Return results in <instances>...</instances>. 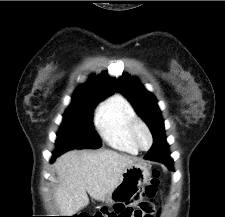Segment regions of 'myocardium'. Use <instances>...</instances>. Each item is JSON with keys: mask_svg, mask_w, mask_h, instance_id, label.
<instances>
[{"mask_svg": "<svg viewBox=\"0 0 225 217\" xmlns=\"http://www.w3.org/2000/svg\"><path fill=\"white\" fill-rule=\"evenodd\" d=\"M140 130L145 131L149 137V144L146 147L143 146L139 141L138 135H139ZM130 134H131L132 141L134 142V144L136 145V147L138 149L148 150L149 148H151V146L153 144V134L145 122H143L142 120H140L138 118L136 120H134L133 123L131 124Z\"/></svg>", "mask_w": 225, "mask_h": 217, "instance_id": "myocardium-1", "label": "myocardium"}]
</instances>
